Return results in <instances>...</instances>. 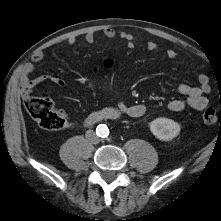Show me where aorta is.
<instances>
[{
    "mask_svg": "<svg viewBox=\"0 0 221 221\" xmlns=\"http://www.w3.org/2000/svg\"><path fill=\"white\" fill-rule=\"evenodd\" d=\"M96 133L99 137H107L109 134V129L107 127V125L105 124H100L97 126L96 128Z\"/></svg>",
    "mask_w": 221,
    "mask_h": 221,
    "instance_id": "obj_1",
    "label": "aorta"
}]
</instances>
